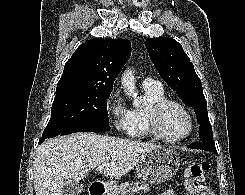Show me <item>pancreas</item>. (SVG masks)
I'll list each match as a JSON object with an SVG mask.
<instances>
[{
  "mask_svg": "<svg viewBox=\"0 0 245 195\" xmlns=\"http://www.w3.org/2000/svg\"><path fill=\"white\" fill-rule=\"evenodd\" d=\"M134 188H137L140 191V195H142V193L149 191L150 185L146 182H125L120 186L115 187L109 195H133L130 190Z\"/></svg>",
  "mask_w": 245,
  "mask_h": 195,
  "instance_id": "obj_1",
  "label": "pancreas"
}]
</instances>
